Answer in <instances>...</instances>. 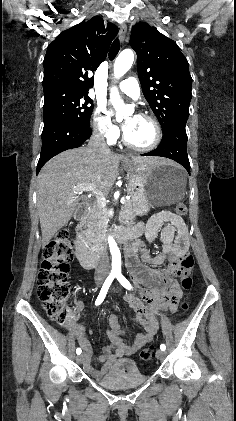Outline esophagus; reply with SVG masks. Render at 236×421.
Segmentation results:
<instances>
[{
    "instance_id": "34e87169",
    "label": "esophagus",
    "mask_w": 236,
    "mask_h": 421,
    "mask_svg": "<svg viewBox=\"0 0 236 421\" xmlns=\"http://www.w3.org/2000/svg\"><path fill=\"white\" fill-rule=\"evenodd\" d=\"M126 32H127V26L125 23H123L120 25V30H119V37H120L121 43L125 40ZM120 158L123 160L127 159L124 155H121Z\"/></svg>"
}]
</instances>
